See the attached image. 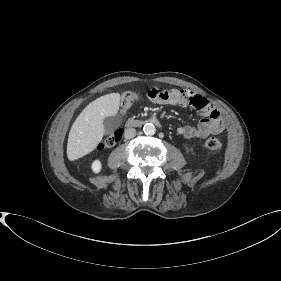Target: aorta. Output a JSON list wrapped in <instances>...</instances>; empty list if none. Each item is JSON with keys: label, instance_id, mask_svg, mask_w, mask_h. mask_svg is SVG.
Returning <instances> with one entry per match:
<instances>
[{"label": "aorta", "instance_id": "1", "mask_svg": "<svg viewBox=\"0 0 281 281\" xmlns=\"http://www.w3.org/2000/svg\"><path fill=\"white\" fill-rule=\"evenodd\" d=\"M143 131L146 135H153L155 133L156 129L152 123H146L143 126Z\"/></svg>", "mask_w": 281, "mask_h": 281}]
</instances>
